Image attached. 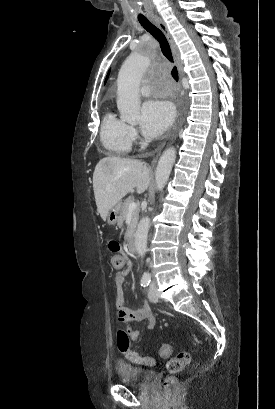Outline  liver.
<instances>
[{"label": "liver", "instance_id": "1", "mask_svg": "<svg viewBox=\"0 0 275 409\" xmlns=\"http://www.w3.org/2000/svg\"><path fill=\"white\" fill-rule=\"evenodd\" d=\"M150 182V170L145 162L135 158H119L105 156L95 166L93 172V188L97 209L103 221L121 198L137 188L144 192Z\"/></svg>", "mask_w": 275, "mask_h": 409}]
</instances>
